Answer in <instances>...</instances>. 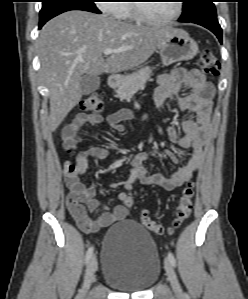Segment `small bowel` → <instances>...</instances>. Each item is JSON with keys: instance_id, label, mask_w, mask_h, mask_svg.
<instances>
[{"instance_id": "c3829d8e", "label": "small bowel", "mask_w": 248, "mask_h": 299, "mask_svg": "<svg viewBox=\"0 0 248 299\" xmlns=\"http://www.w3.org/2000/svg\"><path fill=\"white\" fill-rule=\"evenodd\" d=\"M184 88L190 90L184 92ZM176 96L172 104H168L171 96ZM213 86L206 79V76L197 69L186 70L178 68L171 73L163 75L159 79V84L154 92V101L159 108H171L183 113L195 115V119L187 115L183 117L182 129L185 133L180 138L173 126H168L167 132L169 139L178 143L183 148H190L192 154L185 165L177 169L171 176L166 177L160 173L150 174L146 163L150 161V154L139 152L131 159L130 174L119 182L124 189L118 195L119 200L123 203L116 206L112 212H103L96 218H91L85 214L84 217H74L76 224L86 233H95L102 228L110 226L115 221L122 220L126 217L128 208L125 207L124 201L128 198L127 191L132 189L136 180H140L147 186H160L161 188L171 191L192 179L198 169L204 162V148L209 138L210 132V115L212 109ZM130 116V113L124 110L109 115L105 122L114 129L123 130V122ZM104 120L100 115L79 114L76 118L64 128V146L70 147L76 145L82 140V128L84 125H98ZM166 154L175 163L179 158L171 151ZM107 156V150L101 147H87L80 151L77 156L75 176H83L88 168L89 158H104ZM68 178V175L67 177ZM96 189L92 185L83 184V196L90 210L99 208L100 203L94 198Z\"/></svg>"}]
</instances>
